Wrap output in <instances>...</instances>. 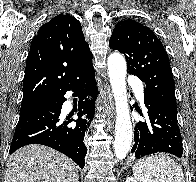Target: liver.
<instances>
[{
    "label": "liver",
    "mask_w": 196,
    "mask_h": 182,
    "mask_svg": "<svg viewBox=\"0 0 196 182\" xmlns=\"http://www.w3.org/2000/svg\"><path fill=\"white\" fill-rule=\"evenodd\" d=\"M8 182H78V167L65 155L37 144L14 152L7 162Z\"/></svg>",
    "instance_id": "liver-1"
}]
</instances>
